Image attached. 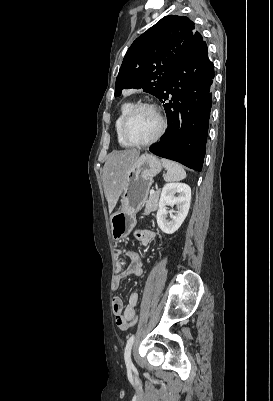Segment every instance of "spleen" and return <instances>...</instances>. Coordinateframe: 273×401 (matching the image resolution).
Returning a JSON list of instances; mask_svg holds the SVG:
<instances>
[{"label": "spleen", "mask_w": 273, "mask_h": 401, "mask_svg": "<svg viewBox=\"0 0 273 401\" xmlns=\"http://www.w3.org/2000/svg\"><path fill=\"white\" fill-rule=\"evenodd\" d=\"M161 160L167 170L166 174H164V180L170 182V180H182V178H185L186 172L181 164L168 160V158H161Z\"/></svg>", "instance_id": "spleen-1"}]
</instances>
